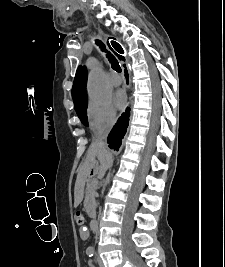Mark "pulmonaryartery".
I'll return each mask as SVG.
<instances>
[{
  "mask_svg": "<svg viewBox=\"0 0 225 267\" xmlns=\"http://www.w3.org/2000/svg\"><path fill=\"white\" fill-rule=\"evenodd\" d=\"M111 83L114 86H119L122 83V78L118 74L114 73L111 77Z\"/></svg>",
  "mask_w": 225,
  "mask_h": 267,
  "instance_id": "1",
  "label": "pulmonary artery"
}]
</instances>
